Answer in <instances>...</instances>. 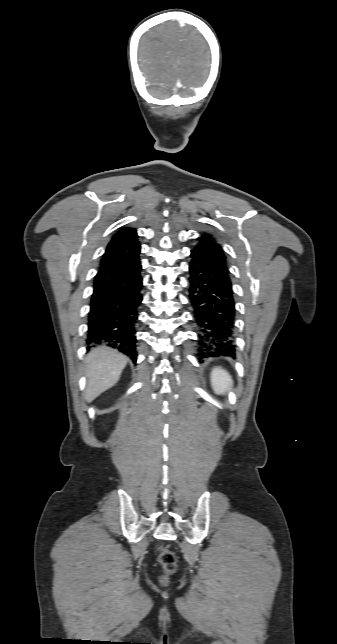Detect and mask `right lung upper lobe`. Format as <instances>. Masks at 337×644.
I'll return each instance as SVG.
<instances>
[{"mask_svg": "<svg viewBox=\"0 0 337 644\" xmlns=\"http://www.w3.org/2000/svg\"><path fill=\"white\" fill-rule=\"evenodd\" d=\"M140 254L138 235L134 228H124L115 234L107 246L100 268L136 259Z\"/></svg>", "mask_w": 337, "mask_h": 644, "instance_id": "1", "label": "right lung upper lobe"}]
</instances>
